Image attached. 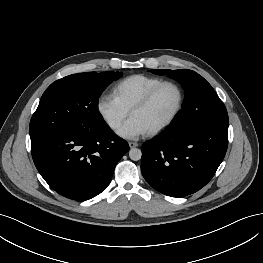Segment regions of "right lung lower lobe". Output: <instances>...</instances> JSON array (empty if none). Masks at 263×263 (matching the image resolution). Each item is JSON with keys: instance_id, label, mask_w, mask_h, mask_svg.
Segmentation results:
<instances>
[{"instance_id": "1", "label": "right lung lower lobe", "mask_w": 263, "mask_h": 263, "mask_svg": "<svg viewBox=\"0 0 263 263\" xmlns=\"http://www.w3.org/2000/svg\"><path fill=\"white\" fill-rule=\"evenodd\" d=\"M36 168L60 195L77 201L91 199L110 183L117 162L129 150L103 123L70 129L31 144Z\"/></svg>"}]
</instances>
